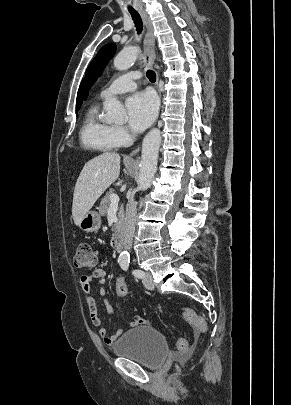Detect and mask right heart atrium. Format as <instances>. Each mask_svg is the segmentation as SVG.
<instances>
[{"label": "right heart atrium", "mask_w": 291, "mask_h": 405, "mask_svg": "<svg viewBox=\"0 0 291 405\" xmlns=\"http://www.w3.org/2000/svg\"><path fill=\"white\" fill-rule=\"evenodd\" d=\"M114 138L118 145H123L129 140V132L125 127H114Z\"/></svg>", "instance_id": "obj_1"}]
</instances>
